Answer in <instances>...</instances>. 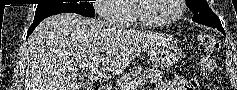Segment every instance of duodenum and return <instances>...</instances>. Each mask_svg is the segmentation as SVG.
<instances>
[{"mask_svg":"<svg viewBox=\"0 0 237 90\" xmlns=\"http://www.w3.org/2000/svg\"><path fill=\"white\" fill-rule=\"evenodd\" d=\"M99 90H112V87H99Z\"/></svg>","mask_w":237,"mask_h":90,"instance_id":"obj_1","label":"duodenum"}]
</instances>
